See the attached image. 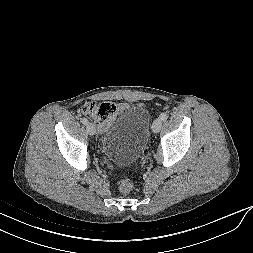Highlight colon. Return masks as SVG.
I'll return each mask as SVG.
<instances>
[{
    "label": "colon",
    "instance_id": "5ec220e1",
    "mask_svg": "<svg viewBox=\"0 0 253 253\" xmlns=\"http://www.w3.org/2000/svg\"><path fill=\"white\" fill-rule=\"evenodd\" d=\"M116 110L117 106L112 102H87L81 107L82 113L89 115L101 129H105L112 121ZM133 187V182L129 179H123L118 184L121 193H128Z\"/></svg>",
    "mask_w": 253,
    "mask_h": 253
}]
</instances>
